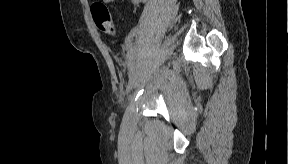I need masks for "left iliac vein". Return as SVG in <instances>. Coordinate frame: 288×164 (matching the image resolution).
<instances>
[{
  "label": "left iliac vein",
  "mask_w": 288,
  "mask_h": 164,
  "mask_svg": "<svg viewBox=\"0 0 288 164\" xmlns=\"http://www.w3.org/2000/svg\"><path fill=\"white\" fill-rule=\"evenodd\" d=\"M135 86V79L133 77H131L129 79V82H128V85L126 87V94H128L129 92L132 91V89L134 88Z\"/></svg>",
  "instance_id": "left-iliac-vein-1"
}]
</instances>
